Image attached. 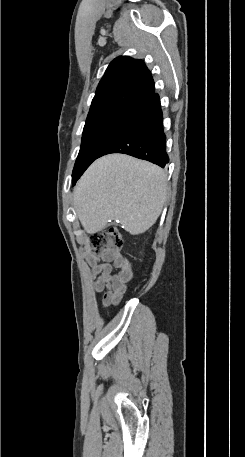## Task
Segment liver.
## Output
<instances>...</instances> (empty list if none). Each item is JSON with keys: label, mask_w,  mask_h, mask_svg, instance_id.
<instances>
[{"label": "liver", "mask_w": 245, "mask_h": 457, "mask_svg": "<svg viewBox=\"0 0 245 457\" xmlns=\"http://www.w3.org/2000/svg\"><path fill=\"white\" fill-rule=\"evenodd\" d=\"M163 168L128 154L94 160L74 188V206L84 231L92 235L117 218L130 235L150 229L167 200Z\"/></svg>", "instance_id": "liver-1"}]
</instances>
